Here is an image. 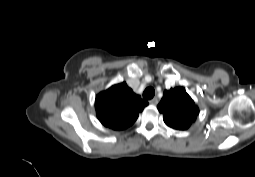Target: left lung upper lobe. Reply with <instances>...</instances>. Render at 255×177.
Here are the masks:
<instances>
[{"mask_svg": "<svg viewBox=\"0 0 255 177\" xmlns=\"http://www.w3.org/2000/svg\"><path fill=\"white\" fill-rule=\"evenodd\" d=\"M165 124L176 130H186L196 120L199 109L183 87L165 90L157 106Z\"/></svg>", "mask_w": 255, "mask_h": 177, "instance_id": "left-lung-upper-lobe-1", "label": "left lung upper lobe"}]
</instances>
